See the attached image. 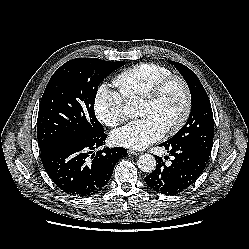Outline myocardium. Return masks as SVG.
<instances>
[{
	"label": "myocardium",
	"mask_w": 249,
	"mask_h": 249,
	"mask_svg": "<svg viewBox=\"0 0 249 249\" xmlns=\"http://www.w3.org/2000/svg\"><path fill=\"white\" fill-rule=\"evenodd\" d=\"M173 82L178 83L183 91L184 105L179 119L165 130V133L169 135L179 132L184 127L191 114L192 93L187 81L181 76L170 75L155 83L146 93L141 96L142 100L144 101L151 103L156 102L167 86Z\"/></svg>",
	"instance_id": "obj_1"
}]
</instances>
